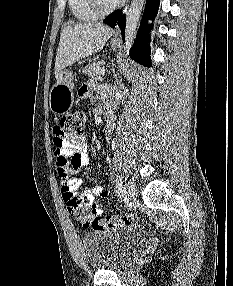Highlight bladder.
<instances>
[{"instance_id": "bladder-1", "label": "bladder", "mask_w": 233, "mask_h": 286, "mask_svg": "<svg viewBox=\"0 0 233 286\" xmlns=\"http://www.w3.org/2000/svg\"><path fill=\"white\" fill-rule=\"evenodd\" d=\"M139 228L90 232L82 237L85 259L93 270H117L125 267L137 254L144 240Z\"/></svg>"}]
</instances>
